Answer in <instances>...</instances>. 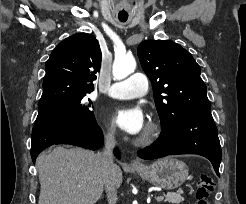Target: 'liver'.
<instances>
[{
	"label": "liver",
	"mask_w": 246,
	"mask_h": 204,
	"mask_svg": "<svg viewBox=\"0 0 246 204\" xmlns=\"http://www.w3.org/2000/svg\"><path fill=\"white\" fill-rule=\"evenodd\" d=\"M41 185L38 204H95L103 194L104 182L98 154L80 148L54 147L36 161ZM114 187L122 183L118 165Z\"/></svg>",
	"instance_id": "obj_1"
}]
</instances>
